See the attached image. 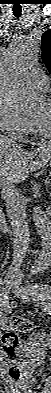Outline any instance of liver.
Here are the masks:
<instances>
[{
	"label": "liver",
	"mask_w": 51,
	"mask_h": 393,
	"mask_svg": "<svg viewBox=\"0 0 51 393\" xmlns=\"http://www.w3.org/2000/svg\"><path fill=\"white\" fill-rule=\"evenodd\" d=\"M51 159V146L34 152L25 151L15 141L0 135V183H20L32 171L44 167Z\"/></svg>",
	"instance_id": "liver-1"
}]
</instances>
